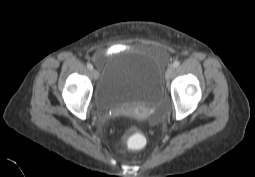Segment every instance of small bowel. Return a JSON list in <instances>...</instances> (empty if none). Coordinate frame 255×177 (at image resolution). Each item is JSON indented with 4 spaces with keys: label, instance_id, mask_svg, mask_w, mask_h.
I'll return each instance as SVG.
<instances>
[{
    "label": "small bowel",
    "instance_id": "1",
    "mask_svg": "<svg viewBox=\"0 0 255 177\" xmlns=\"http://www.w3.org/2000/svg\"><path fill=\"white\" fill-rule=\"evenodd\" d=\"M121 49H122L121 45H113L112 47H110V48L105 52V55H106V56L115 55V54H117Z\"/></svg>",
    "mask_w": 255,
    "mask_h": 177
}]
</instances>
